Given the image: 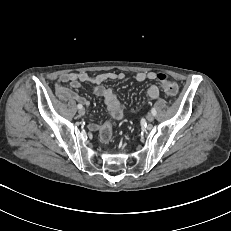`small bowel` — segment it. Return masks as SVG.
Segmentation results:
<instances>
[{"instance_id": "small-bowel-1", "label": "small bowel", "mask_w": 231, "mask_h": 231, "mask_svg": "<svg viewBox=\"0 0 231 231\" xmlns=\"http://www.w3.org/2000/svg\"><path fill=\"white\" fill-rule=\"evenodd\" d=\"M125 79V74L121 72H106L98 74L94 77L89 76L85 72H75V73H66L59 77L55 83L56 95L63 100H74L84 105H89V101L74 92L72 89H77L82 87L83 83L91 84V91L102 97L105 106L107 107L111 117L115 120H122L124 117V112L121 106V102L116 96V94L109 88L103 85L106 81H120ZM136 81L143 82L145 80H155L156 74L154 72H139L135 76ZM65 84H68L69 87H66ZM147 96L150 99H156L159 96V88L157 85L152 84L147 89ZM108 123V122H107ZM102 126L98 124L90 123L88 128L92 131H96Z\"/></svg>"}]
</instances>
